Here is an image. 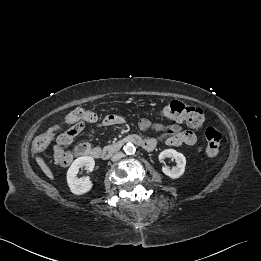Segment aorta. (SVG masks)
I'll return each instance as SVG.
<instances>
[{
	"label": "aorta",
	"mask_w": 261,
	"mask_h": 261,
	"mask_svg": "<svg viewBox=\"0 0 261 261\" xmlns=\"http://www.w3.org/2000/svg\"><path fill=\"white\" fill-rule=\"evenodd\" d=\"M135 151H136V147L132 143H127L124 146V152L127 155H133L135 153Z\"/></svg>",
	"instance_id": "762f6f07"
}]
</instances>
